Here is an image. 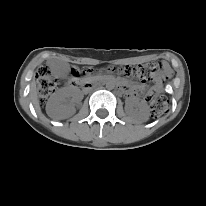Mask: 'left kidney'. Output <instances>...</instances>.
I'll return each mask as SVG.
<instances>
[{
  "instance_id": "obj_1",
  "label": "left kidney",
  "mask_w": 206,
  "mask_h": 206,
  "mask_svg": "<svg viewBox=\"0 0 206 206\" xmlns=\"http://www.w3.org/2000/svg\"><path fill=\"white\" fill-rule=\"evenodd\" d=\"M125 109L129 115L135 116L141 121H147L149 119V107L143 100L129 98L126 102Z\"/></svg>"
}]
</instances>
